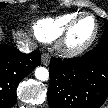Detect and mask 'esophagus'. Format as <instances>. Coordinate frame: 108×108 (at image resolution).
Wrapping results in <instances>:
<instances>
[{
  "mask_svg": "<svg viewBox=\"0 0 108 108\" xmlns=\"http://www.w3.org/2000/svg\"><path fill=\"white\" fill-rule=\"evenodd\" d=\"M50 59L51 57L48 53H43L41 56V62L45 66L49 65Z\"/></svg>",
  "mask_w": 108,
  "mask_h": 108,
  "instance_id": "34e87169",
  "label": "esophagus"
}]
</instances>
